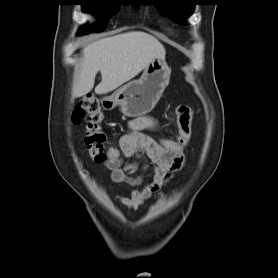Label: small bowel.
<instances>
[{"mask_svg":"<svg viewBox=\"0 0 278 278\" xmlns=\"http://www.w3.org/2000/svg\"><path fill=\"white\" fill-rule=\"evenodd\" d=\"M157 129L158 122L152 117L143 116L131 120L127 131L119 139L120 156L103 162L104 167L110 171V179L114 184L128 183L132 186H140L143 183V175H134L138 170V164L125 162L124 158L142 156L147 160L148 163L143 166V170L151 167L152 179L143 188L119 196V201L130 209H137L184 165L183 154L170 152L159 141L145 134V131Z\"/></svg>","mask_w":278,"mask_h":278,"instance_id":"obj_1","label":"small bowel"}]
</instances>
